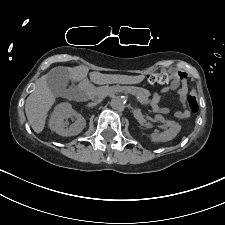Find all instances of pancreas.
<instances>
[{"label":"pancreas","instance_id":"obj_1","mask_svg":"<svg viewBox=\"0 0 225 225\" xmlns=\"http://www.w3.org/2000/svg\"><path fill=\"white\" fill-rule=\"evenodd\" d=\"M116 91H125L134 94L142 105L150 103L149 97L151 96V93L147 89L135 86H103L96 88L94 92L97 95L106 96Z\"/></svg>","mask_w":225,"mask_h":225}]
</instances>
